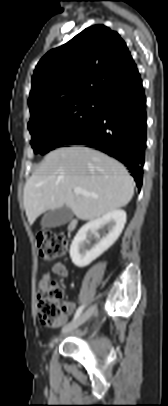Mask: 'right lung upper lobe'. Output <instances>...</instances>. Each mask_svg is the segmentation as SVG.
I'll use <instances>...</instances> for the list:
<instances>
[{
	"mask_svg": "<svg viewBox=\"0 0 168 406\" xmlns=\"http://www.w3.org/2000/svg\"><path fill=\"white\" fill-rule=\"evenodd\" d=\"M138 74L117 32L104 25L88 27L50 50L37 64L28 100L29 123L81 101L98 99Z\"/></svg>",
	"mask_w": 168,
	"mask_h": 406,
	"instance_id": "1",
	"label": "right lung upper lobe"
}]
</instances>
